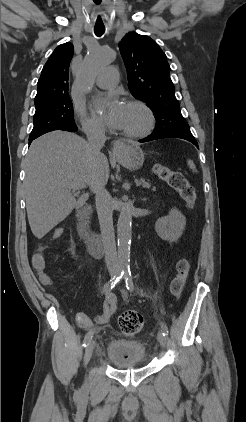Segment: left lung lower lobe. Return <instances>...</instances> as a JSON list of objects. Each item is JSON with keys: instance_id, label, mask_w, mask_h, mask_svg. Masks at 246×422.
Here are the masks:
<instances>
[{"instance_id": "left-lung-lower-lobe-1", "label": "left lung lower lobe", "mask_w": 246, "mask_h": 422, "mask_svg": "<svg viewBox=\"0 0 246 422\" xmlns=\"http://www.w3.org/2000/svg\"><path fill=\"white\" fill-rule=\"evenodd\" d=\"M162 138H181V139H185V140L193 143L197 148H199L197 141L195 140V138H194V136L192 135L191 132L152 133L148 137L139 140V142L143 143V142H148V141H152V140H156V139H162Z\"/></svg>"}]
</instances>
